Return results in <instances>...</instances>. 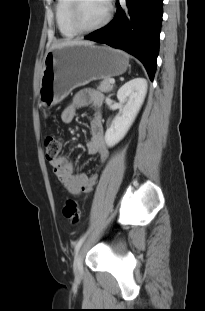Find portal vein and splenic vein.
I'll list each match as a JSON object with an SVG mask.
<instances>
[{
  "mask_svg": "<svg viewBox=\"0 0 205 311\" xmlns=\"http://www.w3.org/2000/svg\"><path fill=\"white\" fill-rule=\"evenodd\" d=\"M109 82H110L111 84H114V83H115V80L112 78V79L109 80Z\"/></svg>",
  "mask_w": 205,
  "mask_h": 311,
  "instance_id": "18ae733b",
  "label": "portal vein and splenic vein"
}]
</instances>
